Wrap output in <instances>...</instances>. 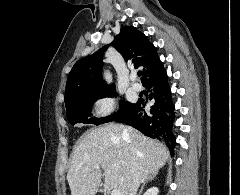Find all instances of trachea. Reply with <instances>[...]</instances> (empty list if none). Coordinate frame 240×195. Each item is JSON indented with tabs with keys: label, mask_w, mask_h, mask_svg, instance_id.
Instances as JSON below:
<instances>
[{
	"label": "trachea",
	"mask_w": 240,
	"mask_h": 195,
	"mask_svg": "<svg viewBox=\"0 0 240 195\" xmlns=\"http://www.w3.org/2000/svg\"><path fill=\"white\" fill-rule=\"evenodd\" d=\"M137 75L138 77H140L142 75V72H138Z\"/></svg>",
	"instance_id": "trachea-1"
}]
</instances>
